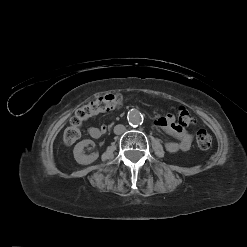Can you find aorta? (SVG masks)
Wrapping results in <instances>:
<instances>
[{
  "label": "aorta",
  "instance_id": "aorta-1",
  "mask_svg": "<svg viewBox=\"0 0 247 247\" xmlns=\"http://www.w3.org/2000/svg\"><path fill=\"white\" fill-rule=\"evenodd\" d=\"M127 119H128V122L131 126H138V125L142 124V122H143V117H142L141 113L136 109H131L128 112Z\"/></svg>",
  "mask_w": 247,
  "mask_h": 247
}]
</instances>
